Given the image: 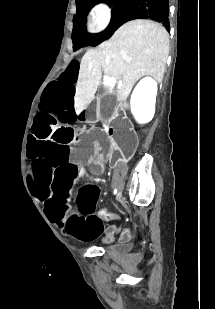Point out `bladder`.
<instances>
[{"instance_id": "31cf9c89", "label": "bladder", "mask_w": 215, "mask_h": 309, "mask_svg": "<svg viewBox=\"0 0 215 309\" xmlns=\"http://www.w3.org/2000/svg\"><path fill=\"white\" fill-rule=\"evenodd\" d=\"M117 252L125 254L131 250V245L129 244H121L116 248Z\"/></svg>"}]
</instances>
